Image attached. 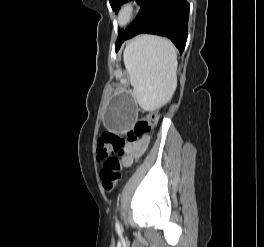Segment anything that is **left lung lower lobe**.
<instances>
[{
  "label": "left lung lower lobe",
  "mask_w": 264,
  "mask_h": 247,
  "mask_svg": "<svg viewBox=\"0 0 264 247\" xmlns=\"http://www.w3.org/2000/svg\"><path fill=\"white\" fill-rule=\"evenodd\" d=\"M189 8L186 0H145L135 21L117 38L116 51L125 40L150 33L168 37L182 53L187 40Z\"/></svg>",
  "instance_id": "obj_1"
}]
</instances>
